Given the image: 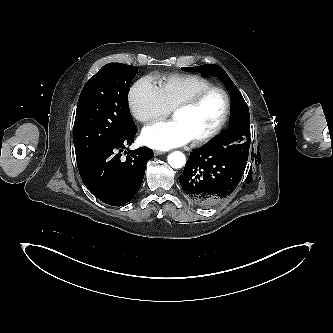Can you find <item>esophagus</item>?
<instances>
[{"mask_svg":"<svg viewBox=\"0 0 333 333\" xmlns=\"http://www.w3.org/2000/svg\"><path fill=\"white\" fill-rule=\"evenodd\" d=\"M162 154H164V152L159 151V150H155V151H154V155H155V156H159V155H162Z\"/></svg>","mask_w":333,"mask_h":333,"instance_id":"1","label":"esophagus"}]
</instances>
